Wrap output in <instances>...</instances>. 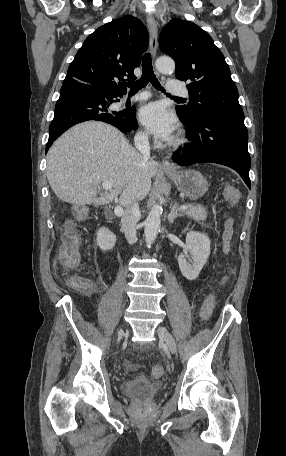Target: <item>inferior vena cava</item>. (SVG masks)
<instances>
[{"instance_id":"inferior-vena-cava-1","label":"inferior vena cava","mask_w":286,"mask_h":456,"mask_svg":"<svg viewBox=\"0 0 286 456\" xmlns=\"http://www.w3.org/2000/svg\"><path fill=\"white\" fill-rule=\"evenodd\" d=\"M136 149L143 155L145 161L150 158V145L148 136L144 133H139L134 138ZM140 216L138 202H133L127 205L125 212L121 218L122 231L125 234L126 240L129 244L136 241V223Z\"/></svg>"}]
</instances>
